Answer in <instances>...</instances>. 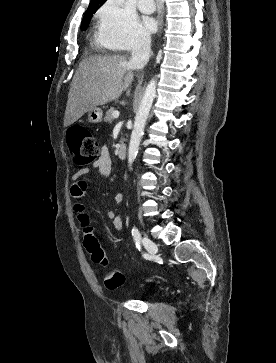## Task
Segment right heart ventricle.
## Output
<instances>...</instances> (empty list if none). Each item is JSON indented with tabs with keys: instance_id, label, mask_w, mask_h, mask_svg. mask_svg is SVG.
I'll return each instance as SVG.
<instances>
[{
	"instance_id": "obj_1",
	"label": "right heart ventricle",
	"mask_w": 276,
	"mask_h": 363,
	"mask_svg": "<svg viewBox=\"0 0 276 363\" xmlns=\"http://www.w3.org/2000/svg\"><path fill=\"white\" fill-rule=\"evenodd\" d=\"M96 43L102 47V48H108V49H112L115 48L113 45L106 43L105 41L102 40V38L100 37V35H98L96 37Z\"/></svg>"
}]
</instances>
